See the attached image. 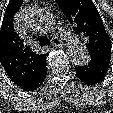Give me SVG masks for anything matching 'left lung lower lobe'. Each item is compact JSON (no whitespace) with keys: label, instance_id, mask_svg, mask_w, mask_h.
<instances>
[{"label":"left lung lower lobe","instance_id":"left-lung-lower-lobe-1","mask_svg":"<svg viewBox=\"0 0 113 113\" xmlns=\"http://www.w3.org/2000/svg\"><path fill=\"white\" fill-rule=\"evenodd\" d=\"M75 69L81 81L87 85H95L104 79L108 66L91 60L88 65L75 67Z\"/></svg>","mask_w":113,"mask_h":113}]
</instances>
